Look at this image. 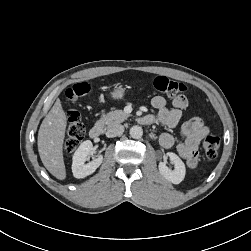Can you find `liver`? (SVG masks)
Listing matches in <instances>:
<instances>
[{
	"mask_svg": "<svg viewBox=\"0 0 251 251\" xmlns=\"http://www.w3.org/2000/svg\"><path fill=\"white\" fill-rule=\"evenodd\" d=\"M66 126L67 117L61 101L57 99L40 125L37 144L43 165L59 180L66 178L63 158Z\"/></svg>",
	"mask_w": 251,
	"mask_h": 251,
	"instance_id": "1",
	"label": "liver"
}]
</instances>
